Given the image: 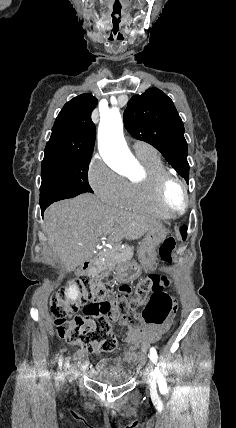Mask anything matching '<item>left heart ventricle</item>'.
Wrapping results in <instances>:
<instances>
[{
	"mask_svg": "<svg viewBox=\"0 0 236 428\" xmlns=\"http://www.w3.org/2000/svg\"><path fill=\"white\" fill-rule=\"evenodd\" d=\"M169 201L177 206H180L183 201V195L181 189L177 185H171L168 189Z\"/></svg>",
	"mask_w": 236,
	"mask_h": 428,
	"instance_id": "left-heart-ventricle-1",
	"label": "left heart ventricle"
}]
</instances>
